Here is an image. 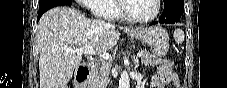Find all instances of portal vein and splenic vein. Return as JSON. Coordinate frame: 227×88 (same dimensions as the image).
<instances>
[{
    "label": "portal vein and splenic vein",
    "mask_w": 227,
    "mask_h": 88,
    "mask_svg": "<svg viewBox=\"0 0 227 88\" xmlns=\"http://www.w3.org/2000/svg\"><path fill=\"white\" fill-rule=\"evenodd\" d=\"M67 52L77 53V54H93L96 55L97 52L90 46L81 47L79 49H67ZM144 53L141 51L137 53V57H142ZM100 57H102L105 60H108L110 58V55L107 52H104L103 54H100Z\"/></svg>",
    "instance_id": "1"
}]
</instances>
